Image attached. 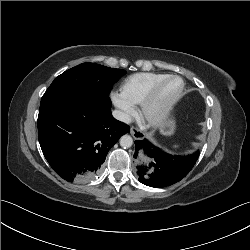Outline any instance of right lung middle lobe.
Segmentation results:
<instances>
[{
  "mask_svg": "<svg viewBox=\"0 0 250 250\" xmlns=\"http://www.w3.org/2000/svg\"><path fill=\"white\" fill-rule=\"evenodd\" d=\"M123 74L125 70L94 63L77 65L55 78L43 95L39 110L75 91H89L109 96L112 86Z\"/></svg>",
  "mask_w": 250,
  "mask_h": 250,
  "instance_id": "1",
  "label": "right lung middle lobe"
}]
</instances>
